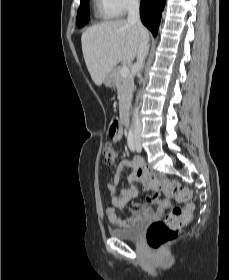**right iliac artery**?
Segmentation results:
<instances>
[{"instance_id":"right-iliac-artery-1","label":"right iliac artery","mask_w":229,"mask_h":280,"mask_svg":"<svg viewBox=\"0 0 229 280\" xmlns=\"http://www.w3.org/2000/svg\"><path fill=\"white\" fill-rule=\"evenodd\" d=\"M128 147L129 149L134 152L135 151V142L132 131H129L128 133V139H127Z\"/></svg>"}]
</instances>
